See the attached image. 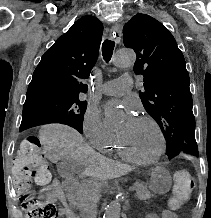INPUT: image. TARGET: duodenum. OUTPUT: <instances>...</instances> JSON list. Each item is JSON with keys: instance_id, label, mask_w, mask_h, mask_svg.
I'll return each instance as SVG.
<instances>
[{"instance_id": "obj_1", "label": "duodenum", "mask_w": 211, "mask_h": 218, "mask_svg": "<svg viewBox=\"0 0 211 218\" xmlns=\"http://www.w3.org/2000/svg\"><path fill=\"white\" fill-rule=\"evenodd\" d=\"M79 185V180L76 177H69L63 182V187L67 191L75 189Z\"/></svg>"}]
</instances>
